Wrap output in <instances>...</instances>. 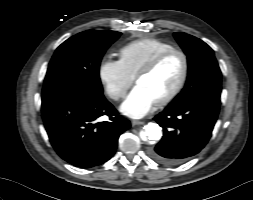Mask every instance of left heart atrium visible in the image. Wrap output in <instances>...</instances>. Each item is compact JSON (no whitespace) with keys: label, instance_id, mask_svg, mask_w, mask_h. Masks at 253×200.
<instances>
[{"label":"left heart atrium","instance_id":"obj_1","mask_svg":"<svg viewBox=\"0 0 253 200\" xmlns=\"http://www.w3.org/2000/svg\"><path fill=\"white\" fill-rule=\"evenodd\" d=\"M156 102L145 88L136 86L122 103L120 110L131 118H142L154 108Z\"/></svg>","mask_w":253,"mask_h":200}]
</instances>
